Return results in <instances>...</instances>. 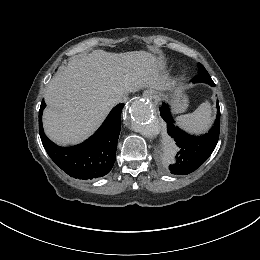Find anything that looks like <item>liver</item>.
Instances as JSON below:
<instances>
[{
	"instance_id": "1",
	"label": "liver",
	"mask_w": 260,
	"mask_h": 260,
	"mask_svg": "<svg viewBox=\"0 0 260 260\" xmlns=\"http://www.w3.org/2000/svg\"><path fill=\"white\" fill-rule=\"evenodd\" d=\"M162 61L146 51L94 50L73 57L48 84L43 113L46 135L59 145L77 144L103 122L121 94L161 89L167 77Z\"/></svg>"
}]
</instances>
